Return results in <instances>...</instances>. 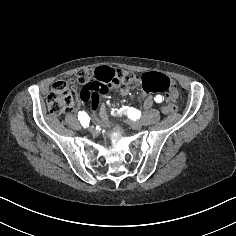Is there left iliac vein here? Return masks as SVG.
I'll return each instance as SVG.
<instances>
[{"label":"left iliac vein","instance_id":"obj_1","mask_svg":"<svg viewBox=\"0 0 236 236\" xmlns=\"http://www.w3.org/2000/svg\"><path fill=\"white\" fill-rule=\"evenodd\" d=\"M141 127V124L138 122V121H135L132 125H131V128L134 130V131H137L138 129H140Z\"/></svg>","mask_w":236,"mask_h":236}]
</instances>
